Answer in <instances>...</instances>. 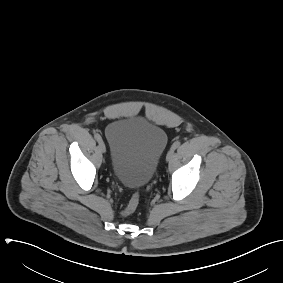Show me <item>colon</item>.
Returning a JSON list of instances; mask_svg holds the SVG:
<instances>
[{
    "label": "colon",
    "mask_w": 283,
    "mask_h": 283,
    "mask_svg": "<svg viewBox=\"0 0 283 283\" xmlns=\"http://www.w3.org/2000/svg\"><path fill=\"white\" fill-rule=\"evenodd\" d=\"M139 204V193H134L129 200L127 206L123 209L122 215L123 216H128L135 212Z\"/></svg>",
    "instance_id": "1"
}]
</instances>
